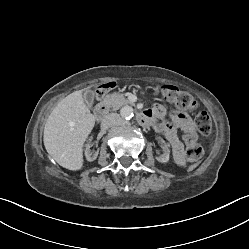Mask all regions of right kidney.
<instances>
[{
  "label": "right kidney",
  "instance_id": "right-kidney-1",
  "mask_svg": "<svg viewBox=\"0 0 249 249\" xmlns=\"http://www.w3.org/2000/svg\"><path fill=\"white\" fill-rule=\"evenodd\" d=\"M88 138H89L90 141L93 142V141L96 140L97 137H96L95 134L92 133V134L89 135ZM82 147L86 152V158H87L88 161H94L97 158L98 152L92 154L97 149L94 143H91V142L89 143V142L86 141V142L83 143Z\"/></svg>",
  "mask_w": 249,
  "mask_h": 249
}]
</instances>
